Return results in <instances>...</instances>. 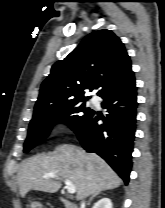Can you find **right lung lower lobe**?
<instances>
[{
    "instance_id": "obj_1",
    "label": "right lung lower lobe",
    "mask_w": 165,
    "mask_h": 208,
    "mask_svg": "<svg viewBox=\"0 0 165 208\" xmlns=\"http://www.w3.org/2000/svg\"><path fill=\"white\" fill-rule=\"evenodd\" d=\"M100 97L108 112L106 118L93 111L75 133L85 150L101 156L128 184L137 108L134 73L105 90ZM100 119L102 124L97 123Z\"/></svg>"
}]
</instances>
